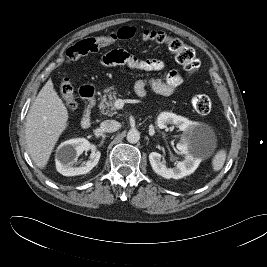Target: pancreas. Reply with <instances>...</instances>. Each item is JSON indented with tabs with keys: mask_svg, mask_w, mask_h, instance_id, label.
Instances as JSON below:
<instances>
[{
	"mask_svg": "<svg viewBox=\"0 0 267 267\" xmlns=\"http://www.w3.org/2000/svg\"><path fill=\"white\" fill-rule=\"evenodd\" d=\"M103 92L104 95H101L99 98L100 103L98 107L100 112L107 116H113L116 114L114 102L117 99L118 93L113 86L106 88Z\"/></svg>",
	"mask_w": 267,
	"mask_h": 267,
	"instance_id": "obj_1",
	"label": "pancreas"
}]
</instances>
